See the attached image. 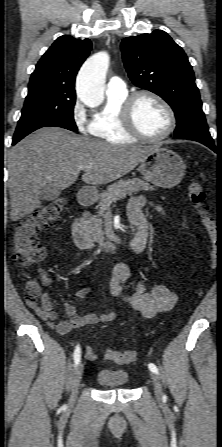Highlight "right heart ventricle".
Listing matches in <instances>:
<instances>
[{"label": "right heart ventricle", "instance_id": "right-heart-ventricle-1", "mask_svg": "<svg viewBox=\"0 0 222 447\" xmlns=\"http://www.w3.org/2000/svg\"><path fill=\"white\" fill-rule=\"evenodd\" d=\"M127 92L107 93V104L91 121L90 133L97 139L113 145L131 144L137 139L128 135L121 127L119 110Z\"/></svg>", "mask_w": 222, "mask_h": 447}]
</instances>
